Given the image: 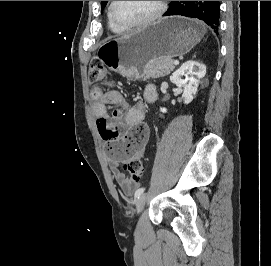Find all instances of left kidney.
Listing matches in <instances>:
<instances>
[{
  "label": "left kidney",
  "mask_w": 271,
  "mask_h": 266,
  "mask_svg": "<svg viewBox=\"0 0 271 266\" xmlns=\"http://www.w3.org/2000/svg\"><path fill=\"white\" fill-rule=\"evenodd\" d=\"M206 74V67L196 61L185 62L178 70H176L170 81L177 86L183 87L182 99L184 104H189L197 93L200 79ZM183 76H189L186 79H182ZM163 113L167 112L166 108H160Z\"/></svg>",
  "instance_id": "5707ae66"
}]
</instances>
